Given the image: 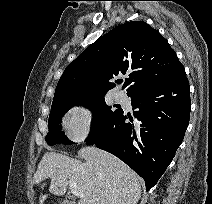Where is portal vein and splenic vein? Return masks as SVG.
<instances>
[{"mask_svg":"<svg viewBox=\"0 0 212 204\" xmlns=\"http://www.w3.org/2000/svg\"><path fill=\"white\" fill-rule=\"evenodd\" d=\"M69 187L73 195L82 198L83 197V191L76 185L75 182L69 181Z\"/></svg>","mask_w":212,"mask_h":204,"instance_id":"obj_1","label":"portal vein and splenic vein"}]
</instances>
